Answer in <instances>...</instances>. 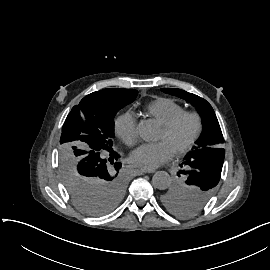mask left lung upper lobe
Segmentation results:
<instances>
[{
    "instance_id": "5c2ea615",
    "label": "left lung upper lobe",
    "mask_w": 270,
    "mask_h": 270,
    "mask_svg": "<svg viewBox=\"0 0 270 270\" xmlns=\"http://www.w3.org/2000/svg\"><path fill=\"white\" fill-rule=\"evenodd\" d=\"M161 90L190 102L202 120L201 135L180 164L183 170L177 173L179 179L160 195L162 206L169 212L192 217L204 210L219 183L225 156L223 135L215 112L205 99L181 89Z\"/></svg>"
}]
</instances>
